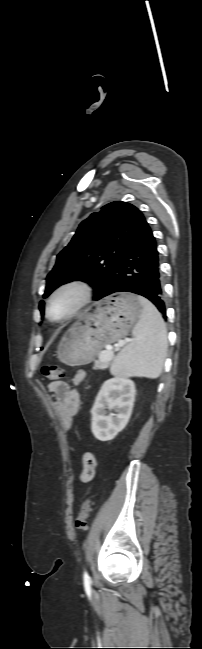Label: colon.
<instances>
[{"instance_id":"5ec220e1","label":"colon","mask_w":202,"mask_h":649,"mask_svg":"<svg viewBox=\"0 0 202 649\" xmlns=\"http://www.w3.org/2000/svg\"><path fill=\"white\" fill-rule=\"evenodd\" d=\"M43 376L50 381H56L62 377V369L56 365H47L42 368ZM92 500L90 498L86 499L80 509V512L76 518L75 525L78 530L87 529V519L91 512Z\"/></svg>"}]
</instances>
